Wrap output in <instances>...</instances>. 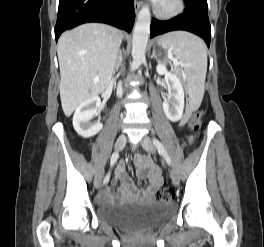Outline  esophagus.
<instances>
[{"instance_id": "34e87169", "label": "esophagus", "mask_w": 264, "mask_h": 247, "mask_svg": "<svg viewBox=\"0 0 264 247\" xmlns=\"http://www.w3.org/2000/svg\"><path fill=\"white\" fill-rule=\"evenodd\" d=\"M140 7H141V2L135 0V2H134L135 11L138 12Z\"/></svg>"}]
</instances>
